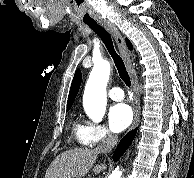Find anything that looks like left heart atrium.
<instances>
[{
  "label": "left heart atrium",
  "mask_w": 194,
  "mask_h": 178,
  "mask_svg": "<svg viewBox=\"0 0 194 178\" xmlns=\"http://www.w3.org/2000/svg\"><path fill=\"white\" fill-rule=\"evenodd\" d=\"M110 128L114 132L125 130L133 120V112L129 105L118 103L113 105L108 113Z\"/></svg>",
  "instance_id": "39dd6f15"
}]
</instances>
